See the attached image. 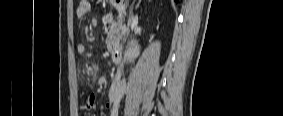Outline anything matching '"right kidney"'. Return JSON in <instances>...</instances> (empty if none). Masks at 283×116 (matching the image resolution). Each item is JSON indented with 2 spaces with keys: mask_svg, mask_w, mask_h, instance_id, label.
I'll use <instances>...</instances> for the list:
<instances>
[{
  "mask_svg": "<svg viewBox=\"0 0 283 116\" xmlns=\"http://www.w3.org/2000/svg\"><path fill=\"white\" fill-rule=\"evenodd\" d=\"M135 49H136V53L138 54V53H139V46L136 45V46H135Z\"/></svg>",
  "mask_w": 283,
  "mask_h": 116,
  "instance_id": "obj_1",
  "label": "right kidney"
}]
</instances>
